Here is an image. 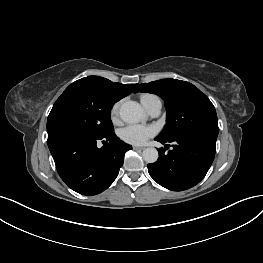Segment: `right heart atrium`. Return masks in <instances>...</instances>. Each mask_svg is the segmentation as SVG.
I'll use <instances>...</instances> for the list:
<instances>
[{
	"instance_id": "obj_1",
	"label": "right heart atrium",
	"mask_w": 263,
	"mask_h": 263,
	"mask_svg": "<svg viewBox=\"0 0 263 263\" xmlns=\"http://www.w3.org/2000/svg\"><path fill=\"white\" fill-rule=\"evenodd\" d=\"M119 107L120 103L116 102L110 110V117L113 122H117L118 120Z\"/></svg>"
}]
</instances>
